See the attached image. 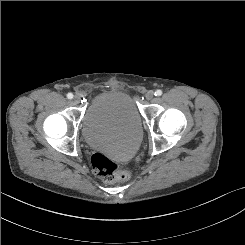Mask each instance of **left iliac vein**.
<instances>
[{"mask_svg":"<svg viewBox=\"0 0 245 245\" xmlns=\"http://www.w3.org/2000/svg\"><path fill=\"white\" fill-rule=\"evenodd\" d=\"M153 97H154V92H153L152 90H150V91H148V92L146 93V98H147L148 100L153 99Z\"/></svg>","mask_w":245,"mask_h":245,"instance_id":"left-iliac-vein-1","label":"left iliac vein"}]
</instances>
